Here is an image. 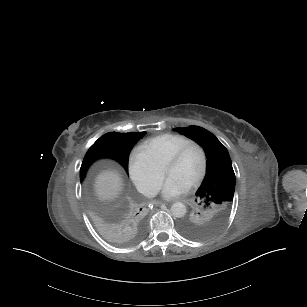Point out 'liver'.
I'll use <instances>...</instances> for the list:
<instances>
[{"mask_svg": "<svg viewBox=\"0 0 307 307\" xmlns=\"http://www.w3.org/2000/svg\"><path fill=\"white\" fill-rule=\"evenodd\" d=\"M123 189V180L116 170H103L97 175L94 190L100 200H112Z\"/></svg>", "mask_w": 307, "mask_h": 307, "instance_id": "1", "label": "liver"}]
</instances>
